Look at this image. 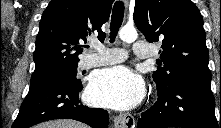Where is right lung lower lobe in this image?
I'll return each mask as SVG.
<instances>
[{"instance_id": "1", "label": "right lung lower lobe", "mask_w": 221, "mask_h": 128, "mask_svg": "<svg viewBox=\"0 0 221 128\" xmlns=\"http://www.w3.org/2000/svg\"><path fill=\"white\" fill-rule=\"evenodd\" d=\"M82 88L59 79L30 86L13 128H28L53 119H74L92 128H108L106 110L89 108L79 101Z\"/></svg>"}]
</instances>
